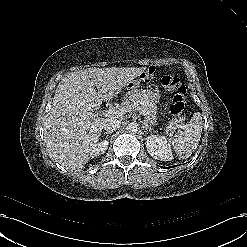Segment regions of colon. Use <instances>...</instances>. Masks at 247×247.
<instances>
[{"label":"colon","instance_id":"1","mask_svg":"<svg viewBox=\"0 0 247 247\" xmlns=\"http://www.w3.org/2000/svg\"><path fill=\"white\" fill-rule=\"evenodd\" d=\"M162 86L173 94L170 112L174 116H181L185 110L186 87L176 76L165 75L161 79Z\"/></svg>","mask_w":247,"mask_h":247}]
</instances>
